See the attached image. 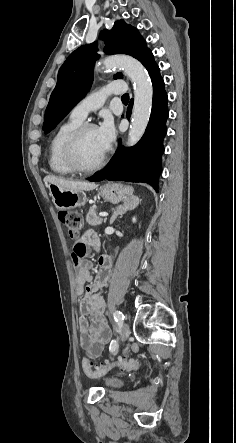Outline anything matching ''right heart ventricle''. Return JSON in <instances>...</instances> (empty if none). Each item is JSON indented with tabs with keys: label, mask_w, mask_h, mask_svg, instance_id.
<instances>
[{
	"label": "right heart ventricle",
	"mask_w": 236,
	"mask_h": 443,
	"mask_svg": "<svg viewBox=\"0 0 236 443\" xmlns=\"http://www.w3.org/2000/svg\"><path fill=\"white\" fill-rule=\"evenodd\" d=\"M83 121L70 116L53 134L49 143L48 164L50 169L60 175H70L74 172L64 161L63 148L70 134L78 128Z\"/></svg>",
	"instance_id": "obj_1"
}]
</instances>
